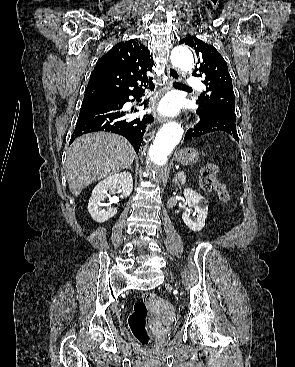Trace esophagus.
I'll return each mask as SVG.
<instances>
[{"label": "esophagus", "mask_w": 295, "mask_h": 367, "mask_svg": "<svg viewBox=\"0 0 295 367\" xmlns=\"http://www.w3.org/2000/svg\"><path fill=\"white\" fill-rule=\"evenodd\" d=\"M167 74H168V80H167L166 85H165L166 90H168L170 88L171 83L173 81H176L178 79V76H179L178 70L175 69L172 66L167 67ZM155 117H156V120L159 123H164V122L168 121V118H166V117H164L160 114H156Z\"/></svg>", "instance_id": "34e87169"}]
</instances>
